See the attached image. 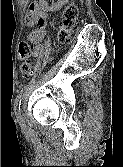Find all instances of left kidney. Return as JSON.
I'll use <instances>...</instances> for the list:
<instances>
[{"mask_svg":"<svg viewBox=\"0 0 123 167\" xmlns=\"http://www.w3.org/2000/svg\"><path fill=\"white\" fill-rule=\"evenodd\" d=\"M68 0H58V3L54 6H52L50 9H59L64 3H66Z\"/></svg>","mask_w":123,"mask_h":167,"instance_id":"obj_1","label":"left kidney"}]
</instances>
